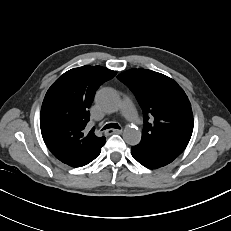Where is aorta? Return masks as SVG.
<instances>
[{
	"label": "aorta",
	"instance_id": "762f6f07",
	"mask_svg": "<svg viewBox=\"0 0 231 231\" xmlns=\"http://www.w3.org/2000/svg\"><path fill=\"white\" fill-rule=\"evenodd\" d=\"M97 104L105 111L116 112L120 108V98L111 88H103L96 95ZM123 139L129 145H137L141 140V132L137 128H125Z\"/></svg>",
	"mask_w": 231,
	"mask_h": 231
}]
</instances>
